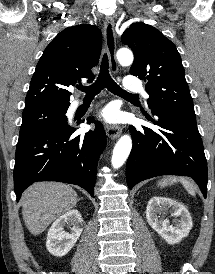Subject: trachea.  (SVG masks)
<instances>
[{
    "mask_svg": "<svg viewBox=\"0 0 215 274\" xmlns=\"http://www.w3.org/2000/svg\"><path fill=\"white\" fill-rule=\"evenodd\" d=\"M104 88H107L110 92L121 97H127V98L138 97L137 94H131L123 90L111 78L109 74V63H108L107 54H104L102 58L100 73L97 80L90 86H83V85L77 86V89L84 91L86 93V97H94Z\"/></svg>",
    "mask_w": 215,
    "mask_h": 274,
    "instance_id": "obj_1",
    "label": "trachea"
}]
</instances>
